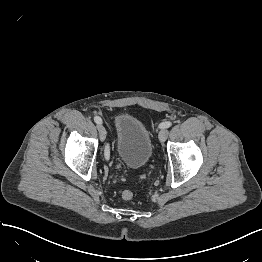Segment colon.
I'll list each match as a JSON object with an SVG mask.
<instances>
[{
	"instance_id": "5ec220e1",
	"label": "colon",
	"mask_w": 262,
	"mask_h": 262,
	"mask_svg": "<svg viewBox=\"0 0 262 262\" xmlns=\"http://www.w3.org/2000/svg\"><path fill=\"white\" fill-rule=\"evenodd\" d=\"M121 198L125 201H129L133 199V192L130 190H123L120 194Z\"/></svg>"
}]
</instances>
